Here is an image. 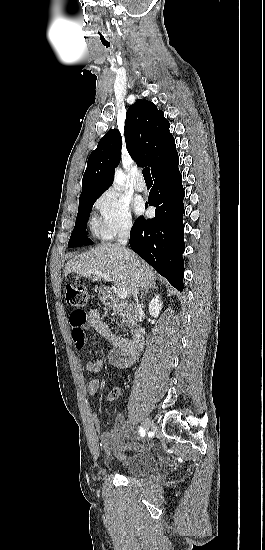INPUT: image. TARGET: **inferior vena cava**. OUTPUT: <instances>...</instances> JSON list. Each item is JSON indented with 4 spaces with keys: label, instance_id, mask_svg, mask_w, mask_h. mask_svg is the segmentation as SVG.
Segmentation results:
<instances>
[{
    "label": "inferior vena cava",
    "instance_id": "inferior-vena-cava-1",
    "mask_svg": "<svg viewBox=\"0 0 265 550\" xmlns=\"http://www.w3.org/2000/svg\"><path fill=\"white\" fill-rule=\"evenodd\" d=\"M130 230H131V225L126 226L124 229L121 230V232L119 233V238H118V244L123 248L125 254L128 257H129V253H128L125 246H126V244L128 242V239H129ZM138 293H139V285L135 282L134 285H133L132 295H133V298H134V301H135V309L138 313H140L142 311V307H141V305L139 304V301H138ZM139 320L141 321L140 317H139Z\"/></svg>",
    "mask_w": 265,
    "mask_h": 550
}]
</instances>
